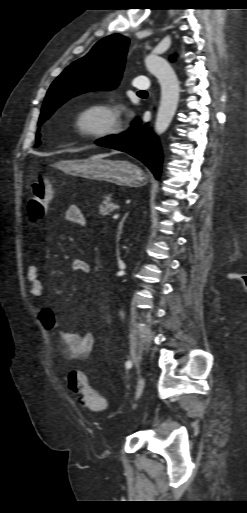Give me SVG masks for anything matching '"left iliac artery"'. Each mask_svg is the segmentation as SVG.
I'll list each match as a JSON object with an SVG mask.
<instances>
[{
	"instance_id": "left-iliac-artery-1",
	"label": "left iliac artery",
	"mask_w": 247,
	"mask_h": 513,
	"mask_svg": "<svg viewBox=\"0 0 247 513\" xmlns=\"http://www.w3.org/2000/svg\"><path fill=\"white\" fill-rule=\"evenodd\" d=\"M125 366H126L127 369H130L132 367V362L130 360L127 361Z\"/></svg>"
}]
</instances>
